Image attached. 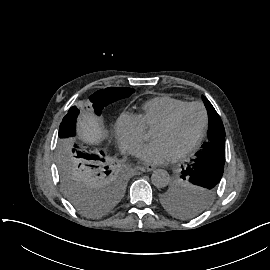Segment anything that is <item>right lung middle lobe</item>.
I'll list each match as a JSON object with an SVG mask.
<instances>
[{"mask_svg":"<svg viewBox=\"0 0 270 270\" xmlns=\"http://www.w3.org/2000/svg\"><path fill=\"white\" fill-rule=\"evenodd\" d=\"M134 89L106 88L87 100V108L100 115L103 107L127 98ZM86 109V107H85ZM79 110L74 106L63 118L57 145V169L63 193L69 203L80 213L96 217L110 210L122 197L125 175L121 166L97 147L92 153L79 140H66L75 136Z\"/></svg>","mask_w":270,"mask_h":270,"instance_id":"1","label":"right lung middle lobe"}]
</instances>
